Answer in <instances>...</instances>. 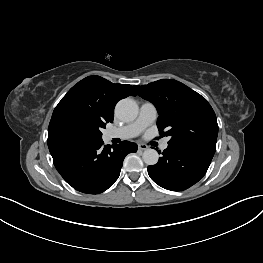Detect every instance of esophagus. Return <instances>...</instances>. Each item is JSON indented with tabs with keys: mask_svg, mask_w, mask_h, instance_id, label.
Masks as SVG:
<instances>
[{
	"mask_svg": "<svg viewBox=\"0 0 263 263\" xmlns=\"http://www.w3.org/2000/svg\"><path fill=\"white\" fill-rule=\"evenodd\" d=\"M138 149L140 151H144V150L148 149V146L146 144H139L138 145Z\"/></svg>",
	"mask_w": 263,
	"mask_h": 263,
	"instance_id": "obj_1",
	"label": "esophagus"
}]
</instances>
